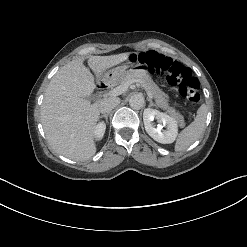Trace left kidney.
Masks as SVG:
<instances>
[{
  "instance_id": "left-kidney-1",
  "label": "left kidney",
  "mask_w": 247,
  "mask_h": 247,
  "mask_svg": "<svg viewBox=\"0 0 247 247\" xmlns=\"http://www.w3.org/2000/svg\"><path fill=\"white\" fill-rule=\"evenodd\" d=\"M154 119L163 125L162 127H165V129H162L159 125L155 128L152 123ZM143 121L146 132L155 141L162 144H170L175 141L178 134V125L173 117L159 112L158 110L147 108L143 113Z\"/></svg>"
}]
</instances>
